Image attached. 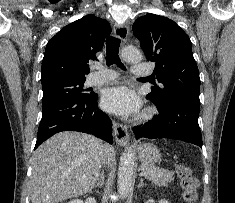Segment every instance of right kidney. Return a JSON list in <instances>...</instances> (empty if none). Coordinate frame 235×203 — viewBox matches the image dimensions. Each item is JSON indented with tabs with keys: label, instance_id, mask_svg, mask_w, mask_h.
<instances>
[{
	"label": "right kidney",
	"instance_id": "ca27d5eb",
	"mask_svg": "<svg viewBox=\"0 0 235 203\" xmlns=\"http://www.w3.org/2000/svg\"><path fill=\"white\" fill-rule=\"evenodd\" d=\"M68 203H96V200H95V198L89 197L84 202L82 200L76 199V200H72Z\"/></svg>",
	"mask_w": 235,
	"mask_h": 203
}]
</instances>
